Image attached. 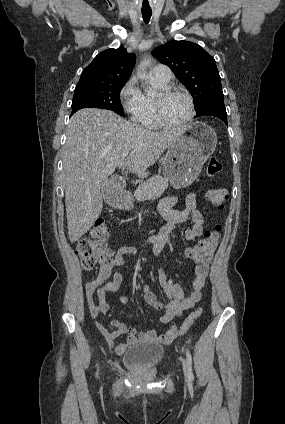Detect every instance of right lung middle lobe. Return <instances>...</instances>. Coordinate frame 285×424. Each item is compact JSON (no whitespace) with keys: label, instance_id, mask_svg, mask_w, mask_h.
Instances as JSON below:
<instances>
[{"label":"right lung middle lobe","instance_id":"1","mask_svg":"<svg viewBox=\"0 0 285 424\" xmlns=\"http://www.w3.org/2000/svg\"><path fill=\"white\" fill-rule=\"evenodd\" d=\"M125 83L76 86L72 100V110L87 107L102 108L123 115L120 92Z\"/></svg>","mask_w":285,"mask_h":424}]
</instances>
